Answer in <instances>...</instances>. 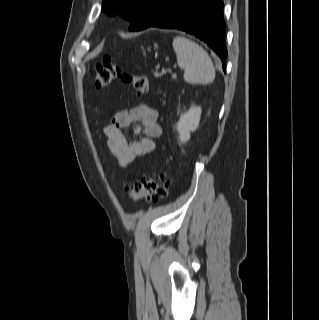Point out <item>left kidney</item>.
<instances>
[{"label": "left kidney", "instance_id": "obj_1", "mask_svg": "<svg viewBox=\"0 0 319 320\" xmlns=\"http://www.w3.org/2000/svg\"><path fill=\"white\" fill-rule=\"evenodd\" d=\"M201 113V107L195 106L180 116V120L177 123V131L182 143L187 142L190 139V132L198 128Z\"/></svg>", "mask_w": 319, "mask_h": 320}]
</instances>
